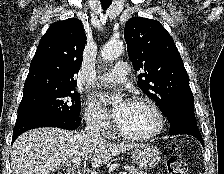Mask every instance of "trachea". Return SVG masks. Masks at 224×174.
<instances>
[{
	"instance_id": "1",
	"label": "trachea",
	"mask_w": 224,
	"mask_h": 174,
	"mask_svg": "<svg viewBox=\"0 0 224 174\" xmlns=\"http://www.w3.org/2000/svg\"><path fill=\"white\" fill-rule=\"evenodd\" d=\"M111 4V0H101V5L104 9H107Z\"/></svg>"
}]
</instances>
